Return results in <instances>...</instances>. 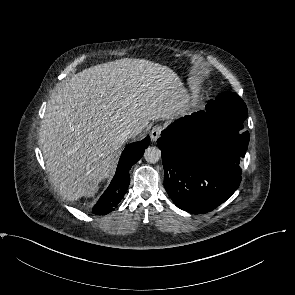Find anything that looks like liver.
<instances>
[{
	"instance_id": "obj_1",
	"label": "liver",
	"mask_w": 295,
	"mask_h": 295,
	"mask_svg": "<svg viewBox=\"0 0 295 295\" xmlns=\"http://www.w3.org/2000/svg\"><path fill=\"white\" fill-rule=\"evenodd\" d=\"M180 78L145 59L122 58L75 74L48 102L40 147L53 185L69 201L94 196L109 177L126 128L172 119L188 103ZM137 135V134H136Z\"/></svg>"
}]
</instances>
